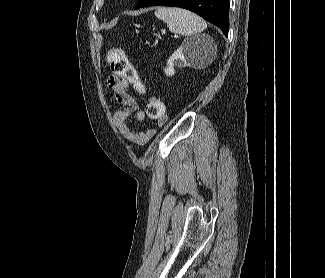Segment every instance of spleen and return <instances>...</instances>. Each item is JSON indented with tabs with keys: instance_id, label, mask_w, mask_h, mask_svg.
I'll return each mask as SVG.
<instances>
[{
	"instance_id": "obj_1",
	"label": "spleen",
	"mask_w": 325,
	"mask_h": 278,
	"mask_svg": "<svg viewBox=\"0 0 325 278\" xmlns=\"http://www.w3.org/2000/svg\"><path fill=\"white\" fill-rule=\"evenodd\" d=\"M155 16L167 23L169 30L175 34L191 36L204 31L206 22L198 15L181 8L159 7Z\"/></svg>"
}]
</instances>
